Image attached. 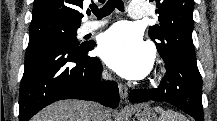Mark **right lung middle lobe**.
<instances>
[{
	"mask_svg": "<svg viewBox=\"0 0 217 121\" xmlns=\"http://www.w3.org/2000/svg\"><path fill=\"white\" fill-rule=\"evenodd\" d=\"M79 27L80 24H72L56 19L31 22L28 46L46 41H65L78 45L76 31Z\"/></svg>",
	"mask_w": 217,
	"mask_h": 121,
	"instance_id": "dd1d6c3e",
	"label": "right lung middle lobe"
}]
</instances>
